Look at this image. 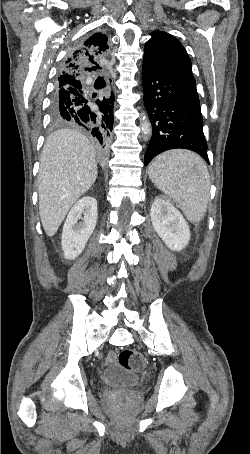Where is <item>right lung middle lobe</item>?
I'll list each match as a JSON object with an SVG mask.
<instances>
[{"instance_id":"right-lung-middle-lobe-1","label":"right lung middle lobe","mask_w":250,"mask_h":454,"mask_svg":"<svg viewBox=\"0 0 250 454\" xmlns=\"http://www.w3.org/2000/svg\"><path fill=\"white\" fill-rule=\"evenodd\" d=\"M70 87H73V88H76V89H80V88H81V86H79V85H74V84H70V85H68V86H66V87H64V88H59V87L57 86V87H56V91H55V95H54L53 99L56 98L57 92H58L59 90L63 91V90H65V89H67V90L71 91V90H70ZM71 92H72V91H71ZM52 120H53V122H54L55 124H63L59 118H54V117H52Z\"/></svg>"}]
</instances>
